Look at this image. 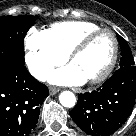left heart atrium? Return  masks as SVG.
I'll use <instances>...</instances> for the list:
<instances>
[{"label":"left heart atrium","mask_w":136,"mask_h":136,"mask_svg":"<svg viewBox=\"0 0 136 136\" xmlns=\"http://www.w3.org/2000/svg\"><path fill=\"white\" fill-rule=\"evenodd\" d=\"M85 81L83 75L71 64L50 75V82L59 85H80Z\"/></svg>","instance_id":"obj_1"}]
</instances>
